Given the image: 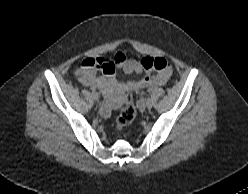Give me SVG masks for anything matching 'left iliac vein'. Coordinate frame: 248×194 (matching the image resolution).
Instances as JSON below:
<instances>
[{
	"mask_svg": "<svg viewBox=\"0 0 248 194\" xmlns=\"http://www.w3.org/2000/svg\"><path fill=\"white\" fill-rule=\"evenodd\" d=\"M153 104H154V100H153L152 98H148V99L146 100V107H147L148 109H151V108L153 107Z\"/></svg>",
	"mask_w": 248,
	"mask_h": 194,
	"instance_id": "4c4485c4",
	"label": "left iliac vein"
}]
</instances>
